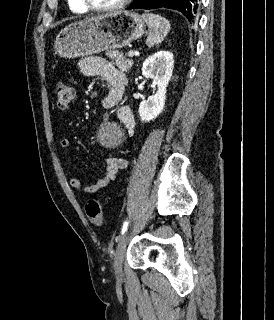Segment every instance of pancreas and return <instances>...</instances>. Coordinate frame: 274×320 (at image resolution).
<instances>
[{
  "instance_id": "cf45deb5",
  "label": "pancreas",
  "mask_w": 274,
  "mask_h": 320,
  "mask_svg": "<svg viewBox=\"0 0 274 320\" xmlns=\"http://www.w3.org/2000/svg\"><path fill=\"white\" fill-rule=\"evenodd\" d=\"M106 56L111 58L113 64H115L121 72H129L130 68L133 66V60H131V58H126L123 52H119V50H107Z\"/></svg>"
}]
</instances>
